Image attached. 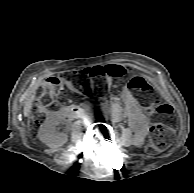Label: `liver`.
<instances>
[{
	"mask_svg": "<svg viewBox=\"0 0 194 193\" xmlns=\"http://www.w3.org/2000/svg\"><path fill=\"white\" fill-rule=\"evenodd\" d=\"M34 99H35V94H34V92H32L28 96V98L24 104L23 114L25 117L29 116L31 108H32V102L34 101Z\"/></svg>",
	"mask_w": 194,
	"mask_h": 193,
	"instance_id": "liver-1",
	"label": "liver"
}]
</instances>
